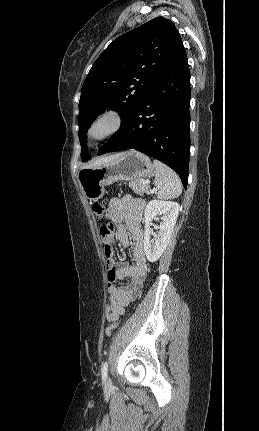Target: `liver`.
I'll return each instance as SVG.
<instances>
[{"mask_svg": "<svg viewBox=\"0 0 259 431\" xmlns=\"http://www.w3.org/2000/svg\"><path fill=\"white\" fill-rule=\"evenodd\" d=\"M120 154H115V155H110V156H103V157H98L96 159H94L93 161H91L89 164L84 165L83 168H90V167H94L100 164H103L105 162L114 160L115 158H117Z\"/></svg>", "mask_w": 259, "mask_h": 431, "instance_id": "6515ba94", "label": "liver"}]
</instances>
